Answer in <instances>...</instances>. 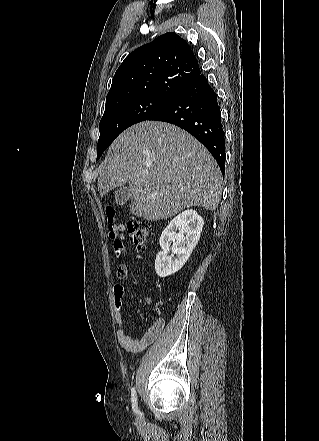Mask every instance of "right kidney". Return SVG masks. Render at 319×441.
<instances>
[{
    "label": "right kidney",
    "instance_id": "right-kidney-1",
    "mask_svg": "<svg viewBox=\"0 0 319 441\" xmlns=\"http://www.w3.org/2000/svg\"><path fill=\"white\" fill-rule=\"evenodd\" d=\"M203 224V218L195 210H186L166 226L159 240L162 250L155 260L159 277L172 275L183 267L199 241ZM171 244L172 255L169 256Z\"/></svg>",
    "mask_w": 319,
    "mask_h": 441
}]
</instances>
